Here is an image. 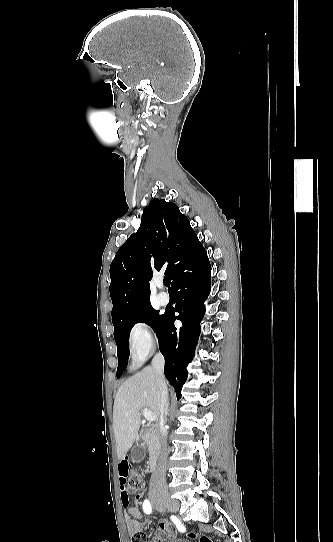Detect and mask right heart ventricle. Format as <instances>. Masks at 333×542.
Instances as JSON below:
<instances>
[{
	"label": "right heart ventricle",
	"mask_w": 333,
	"mask_h": 542,
	"mask_svg": "<svg viewBox=\"0 0 333 542\" xmlns=\"http://www.w3.org/2000/svg\"><path fill=\"white\" fill-rule=\"evenodd\" d=\"M134 360L136 364H140L143 361L142 355L135 351Z\"/></svg>",
	"instance_id": "right-heart-ventricle-1"
}]
</instances>
